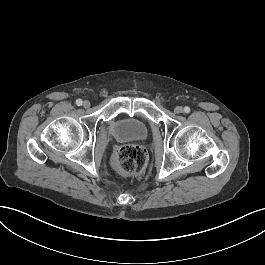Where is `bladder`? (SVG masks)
<instances>
[{
    "label": "bladder",
    "instance_id": "31cf9c89",
    "mask_svg": "<svg viewBox=\"0 0 265 265\" xmlns=\"http://www.w3.org/2000/svg\"><path fill=\"white\" fill-rule=\"evenodd\" d=\"M110 132L119 141H143L148 135V126L141 119L125 117L114 121Z\"/></svg>",
    "mask_w": 265,
    "mask_h": 265
}]
</instances>
